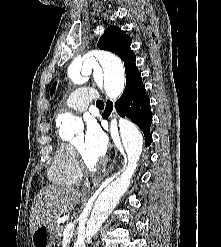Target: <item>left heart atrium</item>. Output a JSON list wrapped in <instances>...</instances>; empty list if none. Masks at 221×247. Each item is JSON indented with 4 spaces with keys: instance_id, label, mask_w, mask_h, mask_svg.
<instances>
[{
    "instance_id": "39dd6f15",
    "label": "left heart atrium",
    "mask_w": 221,
    "mask_h": 247,
    "mask_svg": "<svg viewBox=\"0 0 221 247\" xmlns=\"http://www.w3.org/2000/svg\"><path fill=\"white\" fill-rule=\"evenodd\" d=\"M108 146V138L96 122H89L84 135V150L94 159L101 158Z\"/></svg>"
}]
</instances>
